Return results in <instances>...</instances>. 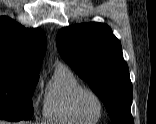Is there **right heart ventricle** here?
Masks as SVG:
<instances>
[{
	"instance_id": "1",
	"label": "right heart ventricle",
	"mask_w": 156,
	"mask_h": 124,
	"mask_svg": "<svg viewBox=\"0 0 156 124\" xmlns=\"http://www.w3.org/2000/svg\"><path fill=\"white\" fill-rule=\"evenodd\" d=\"M82 87L77 76L58 64L46 87L43 114L47 121L59 124H92L99 119H83L74 110L73 95Z\"/></svg>"
}]
</instances>
